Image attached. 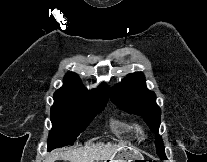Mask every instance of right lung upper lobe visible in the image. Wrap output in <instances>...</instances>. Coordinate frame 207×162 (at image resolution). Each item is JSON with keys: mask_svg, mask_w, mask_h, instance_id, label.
<instances>
[{"mask_svg": "<svg viewBox=\"0 0 207 162\" xmlns=\"http://www.w3.org/2000/svg\"><path fill=\"white\" fill-rule=\"evenodd\" d=\"M55 96H64L82 99H107L109 90L106 84H102L98 89L88 91L82 84L80 78L74 73L65 76V83L62 88L56 91Z\"/></svg>", "mask_w": 207, "mask_h": 162, "instance_id": "obj_1", "label": "right lung upper lobe"}]
</instances>
